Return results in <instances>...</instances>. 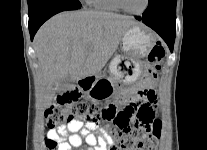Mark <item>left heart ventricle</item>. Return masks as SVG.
I'll return each instance as SVG.
<instances>
[{
    "label": "left heart ventricle",
    "mask_w": 207,
    "mask_h": 150,
    "mask_svg": "<svg viewBox=\"0 0 207 150\" xmlns=\"http://www.w3.org/2000/svg\"><path fill=\"white\" fill-rule=\"evenodd\" d=\"M146 0H123L125 7L131 11H140L145 6Z\"/></svg>",
    "instance_id": "1"
}]
</instances>
